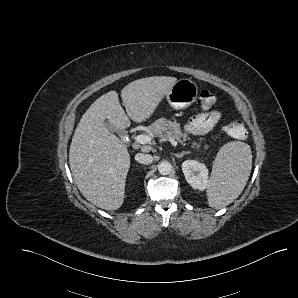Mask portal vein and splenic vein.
I'll list each match as a JSON object with an SVG mask.
<instances>
[{
    "label": "portal vein and splenic vein",
    "mask_w": 298,
    "mask_h": 298,
    "mask_svg": "<svg viewBox=\"0 0 298 298\" xmlns=\"http://www.w3.org/2000/svg\"><path fill=\"white\" fill-rule=\"evenodd\" d=\"M157 136L154 135V134H141V135H138L136 137V141L140 144H151L154 139L156 138ZM167 138V141L172 145V146H176L177 145V141L171 137V136H166Z\"/></svg>",
    "instance_id": "portal-vein-and-splenic-vein-1"
}]
</instances>
